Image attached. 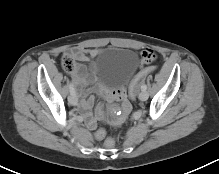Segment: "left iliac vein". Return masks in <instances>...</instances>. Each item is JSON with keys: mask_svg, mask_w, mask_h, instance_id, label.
Listing matches in <instances>:
<instances>
[{"mask_svg": "<svg viewBox=\"0 0 219 174\" xmlns=\"http://www.w3.org/2000/svg\"><path fill=\"white\" fill-rule=\"evenodd\" d=\"M138 98L141 100V101H145L147 100L148 98V94L146 91H141L138 95Z\"/></svg>", "mask_w": 219, "mask_h": 174, "instance_id": "1", "label": "left iliac vein"}]
</instances>
